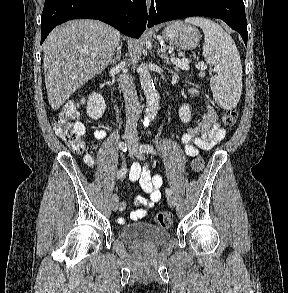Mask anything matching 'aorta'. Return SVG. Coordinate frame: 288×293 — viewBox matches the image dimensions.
<instances>
[{"label":"aorta","instance_id":"aorta-1","mask_svg":"<svg viewBox=\"0 0 288 293\" xmlns=\"http://www.w3.org/2000/svg\"><path fill=\"white\" fill-rule=\"evenodd\" d=\"M139 76L141 87L144 91L147 107L144 125L148 126L149 123L155 118L159 110V93L156 91L150 72L145 64H141L139 68Z\"/></svg>","mask_w":288,"mask_h":293}]
</instances>
